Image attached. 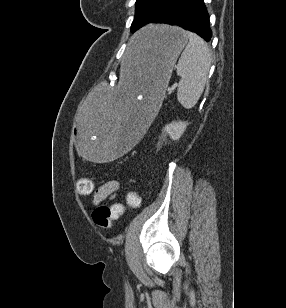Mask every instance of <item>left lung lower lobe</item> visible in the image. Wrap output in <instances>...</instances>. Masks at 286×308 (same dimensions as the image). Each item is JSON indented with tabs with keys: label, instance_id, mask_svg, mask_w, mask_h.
Segmentation results:
<instances>
[{
	"label": "left lung lower lobe",
	"instance_id": "0a47b994",
	"mask_svg": "<svg viewBox=\"0 0 286 308\" xmlns=\"http://www.w3.org/2000/svg\"><path fill=\"white\" fill-rule=\"evenodd\" d=\"M154 22L180 26L206 41L212 37L204 0H172Z\"/></svg>",
	"mask_w": 286,
	"mask_h": 308
}]
</instances>
